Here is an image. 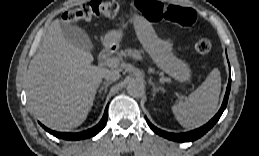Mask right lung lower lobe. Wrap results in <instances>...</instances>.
Segmentation results:
<instances>
[{
  "mask_svg": "<svg viewBox=\"0 0 259 156\" xmlns=\"http://www.w3.org/2000/svg\"><path fill=\"white\" fill-rule=\"evenodd\" d=\"M107 110H108V106L105 109L103 118L101 119V121L99 122L98 125H96L95 127L88 129L86 131L80 132V133H62V132H55L52 131L48 128H46L45 126H43L41 124V126L48 131L49 133H51L52 135L56 136L57 138H62V139H66V140H79V139H86V138H90L95 136L96 134H98L106 125L107 122Z\"/></svg>",
  "mask_w": 259,
  "mask_h": 156,
  "instance_id": "right-lung-lower-lobe-1",
  "label": "right lung lower lobe"
}]
</instances>
